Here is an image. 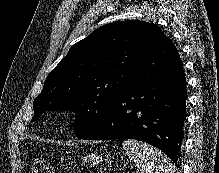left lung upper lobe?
I'll list each match as a JSON object with an SVG mask.
<instances>
[{
	"label": "left lung upper lobe",
	"instance_id": "obj_1",
	"mask_svg": "<svg viewBox=\"0 0 219 173\" xmlns=\"http://www.w3.org/2000/svg\"><path fill=\"white\" fill-rule=\"evenodd\" d=\"M168 37L156 24L127 20L102 26L71 47L34 100L36 121L45 111L76 113L75 135L94 131L130 91L138 66Z\"/></svg>",
	"mask_w": 219,
	"mask_h": 173
}]
</instances>
